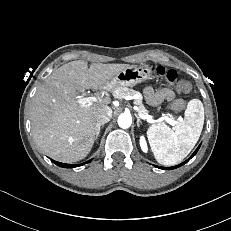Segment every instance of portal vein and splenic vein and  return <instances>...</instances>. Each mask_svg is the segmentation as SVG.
Returning <instances> with one entry per match:
<instances>
[{
	"label": "portal vein and splenic vein",
	"mask_w": 231,
	"mask_h": 231,
	"mask_svg": "<svg viewBox=\"0 0 231 231\" xmlns=\"http://www.w3.org/2000/svg\"><path fill=\"white\" fill-rule=\"evenodd\" d=\"M98 100L97 97H87V98H83L79 100V104L82 106H86V105H92L94 102H96ZM140 117L142 119H149L148 116L145 115H140ZM162 120H165L168 124L174 126L177 122L167 116H163Z\"/></svg>",
	"instance_id": "1"
}]
</instances>
